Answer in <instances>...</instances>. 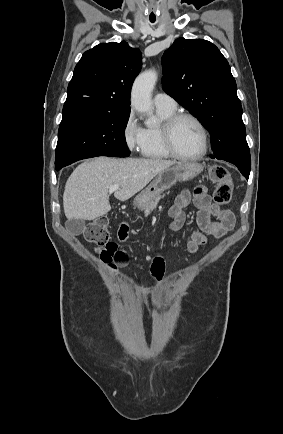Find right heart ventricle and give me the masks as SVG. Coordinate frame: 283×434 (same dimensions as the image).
Instances as JSON below:
<instances>
[{
  "instance_id": "obj_1",
  "label": "right heart ventricle",
  "mask_w": 283,
  "mask_h": 434,
  "mask_svg": "<svg viewBox=\"0 0 283 434\" xmlns=\"http://www.w3.org/2000/svg\"><path fill=\"white\" fill-rule=\"evenodd\" d=\"M174 113L175 110L157 109L160 124L144 129L145 138L141 149V153L144 157L150 159H166L170 157L163 144L161 126L162 123Z\"/></svg>"
}]
</instances>
